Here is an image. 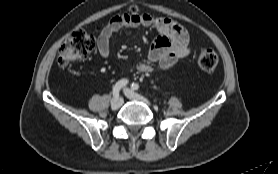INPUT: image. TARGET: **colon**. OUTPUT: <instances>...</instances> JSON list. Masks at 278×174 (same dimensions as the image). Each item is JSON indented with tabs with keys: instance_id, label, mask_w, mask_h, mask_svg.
<instances>
[{
	"instance_id": "5ec220e1",
	"label": "colon",
	"mask_w": 278,
	"mask_h": 174,
	"mask_svg": "<svg viewBox=\"0 0 278 174\" xmlns=\"http://www.w3.org/2000/svg\"><path fill=\"white\" fill-rule=\"evenodd\" d=\"M132 13H137L135 8ZM96 47L95 38L83 29H76L66 38L59 50L58 64L67 66L73 61L86 58ZM218 64V56L212 49H204L199 53L198 65L205 72L213 71Z\"/></svg>"
}]
</instances>
